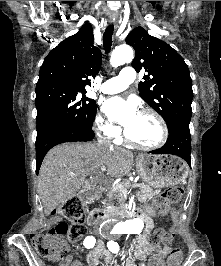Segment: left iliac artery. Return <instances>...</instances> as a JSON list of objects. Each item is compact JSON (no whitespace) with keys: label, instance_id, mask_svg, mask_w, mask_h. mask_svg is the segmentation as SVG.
Returning <instances> with one entry per match:
<instances>
[{"label":"left iliac artery","instance_id":"44dca946","mask_svg":"<svg viewBox=\"0 0 221 266\" xmlns=\"http://www.w3.org/2000/svg\"><path fill=\"white\" fill-rule=\"evenodd\" d=\"M107 247L113 253H118V251H119V245H118V243L117 242H114L112 240L107 243ZM142 266H144V265H142Z\"/></svg>","mask_w":221,"mask_h":266}]
</instances>
